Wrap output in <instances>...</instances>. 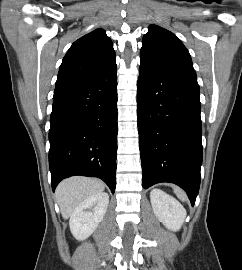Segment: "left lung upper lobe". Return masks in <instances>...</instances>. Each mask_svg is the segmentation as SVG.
Here are the masks:
<instances>
[{"mask_svg": "<svg viewBox=\"0 0 242 270\" xmlns=\"http://www.w3.org/2000/svg\"><path fill=\"white\" fill-rule=\"evenodd\" d=\"M140 60L145 65L197 80L186 47L173 33L157 25H150L143 37Z\"/></svg>", "mask_w": 242, "mask_h": 270, "instance_id": "5c2ea615", "label": "left lung upper lobe"}]
</instances>
